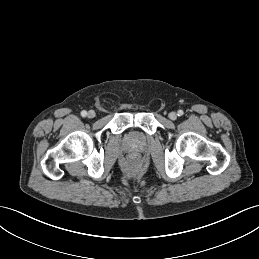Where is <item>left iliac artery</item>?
<instances>
[{
  "label": "left iliac artery",
  "instance_id": "left-iliac-artery-1",
  "mask_svg": "<svg viewBox=\"0 0 259 259\" xmlns=\"http://www.w3.org/2000/svg\"><path fill=\"white\" fill-rule=\"evenodd\" d=\"M183 113H184V112H183L182 110H179V111H178V116H182Z\"/></svg>",
  "mask_w": 259,
  "mask_h": 259
}]
</instances>
